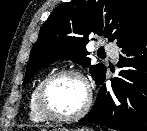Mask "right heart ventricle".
Returning a JSON list of instances; mask_svg holds the SVG:
<instances>
[{
    "label": "right heart ventricle",
    "mask_w": 147,
    "mask_h": 131,
    "mask_svg": "<svg viewBox=\"0 0 147 131\" xmlns=\"http://www.w3.org/2000/svg\"><path fill=\"white\" fill-rule=\"evenodd\" d=\"M49 75L50 74H47V75L43 76L42 78H40L30 93L29 103H28V106H29L28 115H29L30 120L35 123H44V122L48 121V119L42 115V113L40 112V110L38 108L37 91H38V88H39L40 84L42 83V81Z\"/></svg>",
    "instance_id": "1"
}]
</instances>
